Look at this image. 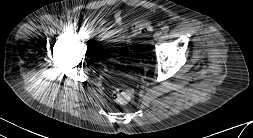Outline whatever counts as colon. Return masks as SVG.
I'll list each match as a JSON object with an SVG mask.
<instances>
[{"label":"colon","mask_w":253,"mask_h":138,"mask_svg":"<svg viewBox=\"0 0 253 138\" xmlns=\"http://www.w3.org/2000/svg\"><path fill=\"white\" fill-rule=\"evenodd\" d=\"M152 26L149 21L139 22L133 25L132 36L143 34L152 31ZM113 99L118 104H126L132 97V92L127 88H118L113 92Z\"/></svg>","instance_id":"obj_1"}]
</instances>
